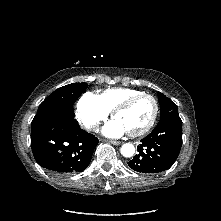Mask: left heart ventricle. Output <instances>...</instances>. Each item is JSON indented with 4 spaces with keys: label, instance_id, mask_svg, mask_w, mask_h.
Masks as SVG:
<instances>
[{
    "label": "left heart ventricle",
    "instance_id": "left-heart-ventricle-1",
    "mask_svg": "<svg viewBox=\"0 0 221 221\" xmlns=\"http://www.w3.org/2000/svg\"><path fill=\"white\" fill-rule=\"evenodd\" d=\"M153 101L144 97L137 100L130 108L118 113L115 117L128 132H136L142 129L153 115Z\"/></svg>",
    "mask_w": 221,
    "mask_h": 221
}]
</instances>
